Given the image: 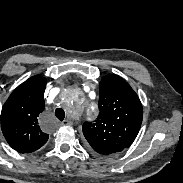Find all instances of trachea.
Segmentation results:
<instances>
[{
	"instance_id": "trachea-1",
	"label": "trachea",
	"mask_w": 183,
	"mask_h": 183,
	"mask_svg": "<svg viewBox=\"0 0 183 183\" xmlns=\"http://www.w3.org/2000/svg\"><path fill=\"white\" fill-rule=\"evenodd\" d=\"M55 115H56V117H57L60 121H63L64 118H65V112H64V110L61 109V108H57V109L55 110Z\"/></svg>"
}]
</instances>
